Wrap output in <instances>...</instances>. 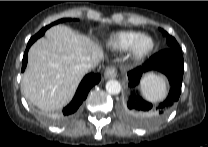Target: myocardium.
Segmentation results:
<instances>
[{
	"label": "myocardium",
	"mask_w": 208,
	"mask_h": 147,
	"mask_svg": "<svg viewBox=\"0 0 208 147\" xmlns=\"http://www.w3.org/2000/svg\"><path fill=\"white\" fill-rule=\"evenodd\" d=\"M148 38L151 42L150 46L146 50H140V43L142 40ZM155 40L154 38L147 34V33H141L132 43V45L129 48V53L132 58L136 60H142L146 57H148L153 50L155 49Z\"/></svg>",
	"instance_id": "1"
}]
</instances>
